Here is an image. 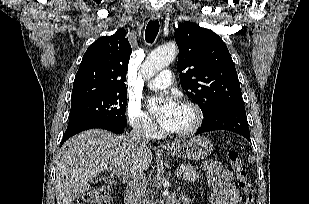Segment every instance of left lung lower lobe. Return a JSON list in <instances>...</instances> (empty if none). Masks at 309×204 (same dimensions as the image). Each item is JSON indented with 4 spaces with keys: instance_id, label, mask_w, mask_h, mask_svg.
Wrapping results in <instances>:
<instances>
[{
    "instance_id": "obj_1",
    "label": "left lung lower lobe",
    "mask_w": 309,
    "mask_h": 204,
    "mask_svg": "<svg viewBox=\"0 0 309 204\" xmlns=\"http://www.w3.org/2000/svg\"><path fill=\"white\" fill-rule=\"evenodd\" d=\"M214 130H229L250 140L244 104H231L218 108L203 119L196 134Z\"/></svg>"
}]
</instances>
